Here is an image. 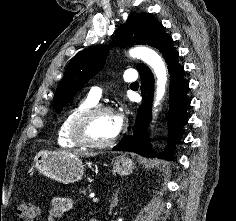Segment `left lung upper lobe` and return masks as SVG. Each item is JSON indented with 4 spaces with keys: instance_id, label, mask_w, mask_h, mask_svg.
<instances>
[{
    "instance_id": "5c2ea615",
    "label": "left lung upper lobe",
    "mask_w": 236,
    "mask_h": 221,
    "mask_svg": "<svg viewBox=\"0 0 236 221\" xmlns=\"http://www.w3.org/2000/svg\"><path fill=\"white\" fill-rule=\"evenodd\" d=\"M163 34L162 24L152 14L132 13L117 30L114 43L119 47L138 44L154 47ZM107 52L108 47H93L78 53L70 61L53 99L56 112H61L69 99L103 68ZM142 65L139 64L137 68Z\"/></svg>"
}]
</instances>
